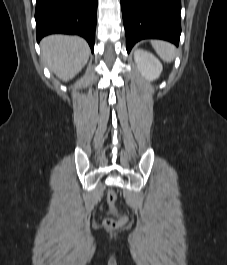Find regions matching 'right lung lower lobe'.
Listing matches in <instances>:
<instances>
[{
  "label": "right lung lower lobe",
  "instance_id": "right-lung-lower-lobe-1",
  "mask_svg": "<svg viewBox=\"0 0 227 265\" xmlns=\"http://www.w3.org/2000/svg\"><path fill=\"white\" fill-rule=\"evenodd\" d=\"M97 0H37V41L53 33L84 37L94 51Z\"/></svg>",
  "mask_w": 227,
  "mask_h": 265
}]
</instances>
